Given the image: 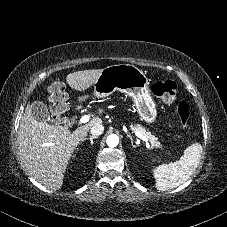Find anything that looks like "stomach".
<instances>
[{
  "label": "stomach",
  "mask_w": 227,
  "mask_h": 227,
  "mask_svg": "<svg viewBox=\"0 0 227 227\" xmlns=\"http://www.w3.org/2000/svg\"><path fill=\"white\" fill-rule=\"evenodd\" d=\"M149 82L143 70L134 65H111L102 69L94 82V95L104 98L118 90L132 97L134 107L143 121L153 123L157 118V109L148 88Z\"/></svg>",
  "instance_id": "1"
}]
</instances>
